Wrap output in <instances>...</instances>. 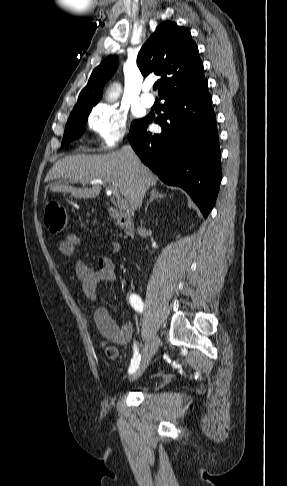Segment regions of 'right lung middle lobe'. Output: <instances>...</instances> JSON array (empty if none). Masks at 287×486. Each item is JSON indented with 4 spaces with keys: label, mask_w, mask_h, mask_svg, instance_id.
I'll return each mask as SVG.
<instances>
[{
    "label": "right lung middle lobe",
    "mask_w": 287,
    "mask_h": 486,
    "mask_svg": "<svg viewBox=\"0 0 287 486\" xmlns=\"http://www.w3.org/2000/svg\"><path fill=\"white\" fill-rule=\"evenodd\" d=\"M92 108L85 110L77 114H70L69 119L66 124L65 133L62 140V145L68 144L69 142L75 140L82 133L85 123L87 121L88 115ZM139 122L135 120L132 123L131 129ZM130 129V130H131Z\"/></svg>",
    "instance_id": "1"
}]
</instances>
